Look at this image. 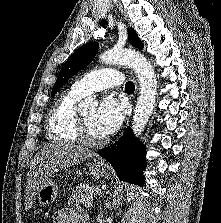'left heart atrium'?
Segmentation results:
<instances>
[{"label":"left heart atrium","mask_w":221,"mask_h":223,"mask_svg":"<svg viewBox=\"0 0 221 223\" xmlns=\"http://www.w3.org/2000/svg\"><path fill=\"white\" fill-rule=\"evenodd\" d=\"M125 105L112 96H107L101 102L96 112V125L103 135L114 133L120 128L125 117Z\"/></svg>","instance_id":"left-heart-atrium-1"}]
</instances>
